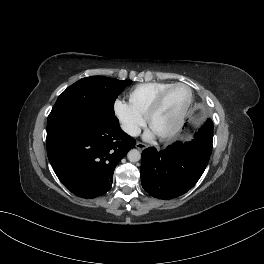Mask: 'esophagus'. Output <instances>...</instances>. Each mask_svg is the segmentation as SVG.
<instances>
[{"mask_svg":"<svg viewBox=\"0 0 264 264\" xmlns=\"http://www.w3.org/2000/svg\"><path fill=\"white\" fill-rule=\"evenodd\" d=\"M147 146L144 144V143H141V142H137L136 143V148L138 149V150H144L145 148H146Z\"/></svg>","mask_w":264,"mask_h":264,"instance_id":"1","label":"esophagus"}]
</instances>
